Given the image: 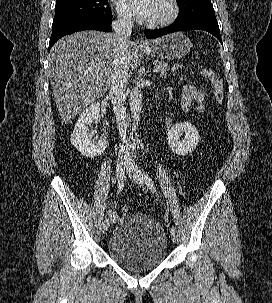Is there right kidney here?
Instances as JSON below:
<instances>
[{"mask_svg": "<svg viewBox=\"0 0 272 303\" xmlns=\"http://www.w3.org/2000/svg\"><path fill=\"white\" fill-rule=\"evenodd\" d=\"M100 117V104L94 102L87 107L81 114L71 134V144L79 152L89 158L100 156L107 147L108 140L106 136L98 141L93 139L91 130L94 122Z\"/></svg>", "mask_w": 272, "mask_h": 303, "instance_id": "obj_1", "label": "right kidney"}]
</instances>
